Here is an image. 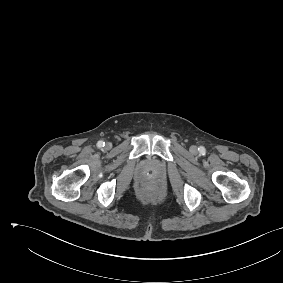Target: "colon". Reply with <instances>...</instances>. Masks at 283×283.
Returning <instances> with one entry per match:
<instances>
[{"label":"colon","mask_w":283,"mask_h":283,"mask_svg":"<svg viewBox=\"0 0 283 283\" xmlns=\"http://www.w3.org/2000/svg\"><path fill=\"white\" fill-rule=\"evenodd\" d=\"M146 194H147V195H152L153 192H152V190H147V191H146Z\"/></svg>","instance_id":"colon-1"}]
</instances>
